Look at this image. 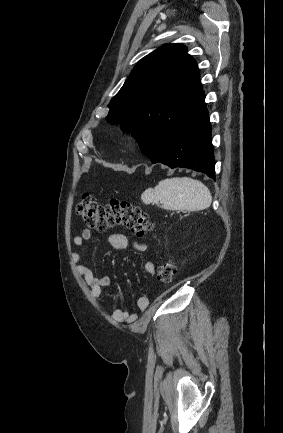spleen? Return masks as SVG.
Listing matches in <instances>:
<instances>
[{
    "label": "spleen",
    "instance_id": "obj_1",
    "mask_svg": "<svg viewBox=\"0 0 283 433\" xmlns=\"http://www.w3.org/2000/svg\"><path fill=\"white\" fill-rule=\"evenodd\" d=\"M142 202H156L166 210H204L212 202L209 188L194 178H165L155 188H147L141 194Z\"/></svg>",
    "mask_w": 283,
    "mask_h": 433
}]
</instances>
